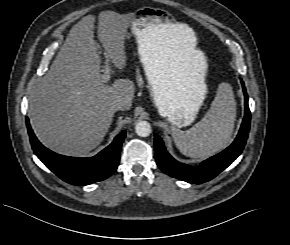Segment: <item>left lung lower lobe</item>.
Returning <instances> with one entry per match:
<instances>
[{"label":"left lung lower lobe","mask_w":290,"mask_h":245,"mask_svg":"<svg viewBox=\"0 0 290 245\" xmlns=\"http://www.w3.org/2000/svg\"><path fill=\"white\" fill-rule=\"evenodd\" d=\"M241 83L245 97V115L240 131L234 142L221 153L203 161L199 166L194 167L176 161L166 151L160 136L155 134L156 163L164 173L189 183L201 184L217 176L241 154L248 137L251 119L247 92L243 81H241Z\"/></svg>","instance_id":"left-lung-lower-lobe-1"}]
</instances>
